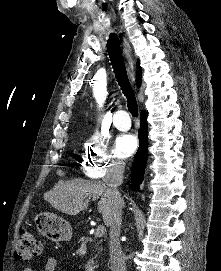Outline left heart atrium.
I'll return each instance as SVG.
<instances>
[{
  "instance_id": "obj_1",
  "label": "left heart atrium",
  "mask_w": 221,
  "mask_h": 271,
  "mask_svg": "<svg viewBox=\"0 0 221 271\" xmlns=\"http://www.w3.org/2000/svg\"><path fill=\"white\" fill-rule=\"evenodd\" d=\"M176 94V92H170ZM137 145V136L133 133L122 134L117 139L116 150L117 153L132 154Z\"/></svg>"
}]
</instances>
